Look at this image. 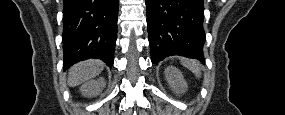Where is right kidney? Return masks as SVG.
Returning a JSON list of instances; mask_svg holds the SVG:
<instances>
[{"label":"right kidney","mask_w":285,"mask_h":115,"mask_svg":"<svg viewBox=\"0 0 285 115\" xmlns=\"http://www.w3.org/2000/svg\"><path fill=\"white\" fill-rule=\"evenodd\" d=\"M106 82L104 78L97 80H91L83 84L80 88V92L83 96L91 97L97 95L105 86Z\"/></svg>","instance_id":"obj_1"}]
</instances>
